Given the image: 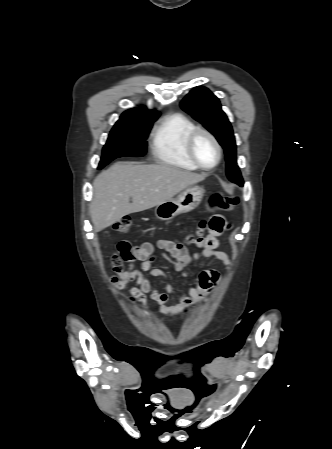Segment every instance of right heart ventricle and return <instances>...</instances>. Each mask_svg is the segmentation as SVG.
<instances>
[{
  "mask_svg": "<svg viewBox=\"0 0 332 449\" xmlns=\"http://www.w3.org/2000/svg\"><path fill=\"white\" fill-rule=\"evenodd\" d=\"M196 128L195 123L181 113L167 115L155 130L151 143L154 157L161 163L186 170L198 167L186 152V138Z\"/></svg>",
  "mask_w": 332,
  "mask_h": 449,
  "instance_id": "1",
  "label": "right heart ventricle"
}]
</instances>
